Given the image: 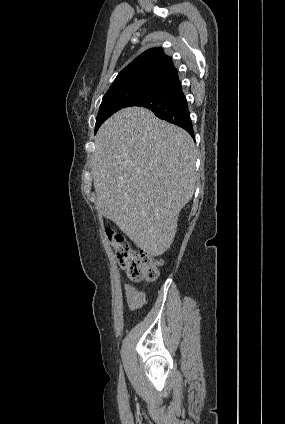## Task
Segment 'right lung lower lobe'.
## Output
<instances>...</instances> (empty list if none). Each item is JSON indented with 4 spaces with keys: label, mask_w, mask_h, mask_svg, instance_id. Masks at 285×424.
<instances>
[{
    "label": "right lung lower lobe",
    "mask_w": 285,
    "mask_h": 424,
    "mask_svg": "<svg viewBox=\"0 0 285 424\" xmlns=\"http://www.w3.org/2000/svg\"><path fill=\"white\" fill-rule=\"evenodd\" d=\"M130 106L147 108L158 118L185 129L194 138L187 100L179 78L164 84L152 94L134 100L127 107Z\"/></svg>",
    "instance_id": "obj_1"
}]
</instances>
